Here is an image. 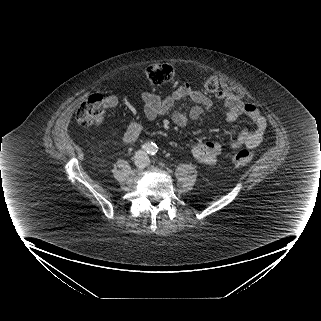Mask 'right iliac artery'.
<instances>
[{
    "instance_id": "82829eb1",
    "label": "right iliac artery",
    "mask_w": 321,
    "mask_h": 321,
    "mask_svg": "<svg viewBox=\"0 0 321 321\" xmlns=\"http://www.w3.org/2000/svg\"><path fill=\"white\" fill-rule=\"evenodd\" d=\"M141 147L144 151H146L147 153H150L153 146L150 143H145Z\"/></svg>"
}]
</instances>
